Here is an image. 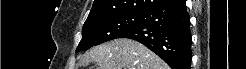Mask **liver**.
Instances as JSON below:
<instances>
[{
	"label": "liver",
	"instance_id": "6515ba94",
	"mask_svg": "<svg viewBox=\"0 0 246 69\" xmlns=\"http://www.w3.org/2000/svg\"><path fill=\"white\" fill-rule=\"evenodd\" d=\"M94 62L97 69H168L167 64L141 43L116 39L92 48L84 65Z\"/></svg>",
	"mask_w": 246,
	"mask_h": 69
}]
</instances>
